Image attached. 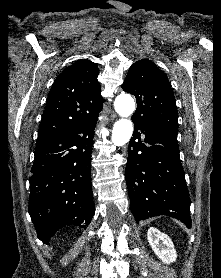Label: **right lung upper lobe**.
<instances>
[{"instance_id": "obj_1", "label": "right lung upper lobe", "mask_w": 221, "mask_h": 278, "mask_svg": "<svg viewBox=\"0 0 221 278\" xmlns=\"http://www.w3.org/2000/svg\"><path fill=\"white\" fill-rule=\"evenodd\" d=\"M98 74L97 65L87 59L76 61L59 74L48 94L36 146L83 120L98 117L104 102Z\"/></svg>"}]
</instances>
